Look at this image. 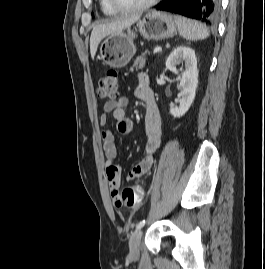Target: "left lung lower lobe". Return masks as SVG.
<instances>
[{
  "mask_svg": "<svg viewBox=\"0 0 265 269\" xmlns=\"http://www.w3.org/2000/svg\"><path fill=\"white\" fill-rule=\"evenodd\" d=\"M157 10L174 12L211 24L219 15L220 0H166Z\"/></svg>",
  "mask_w": 265,
  "mask_h": 269,
  "instance_id": "obj_1",
  "label": "left lung lower lobe"
}]
</instances>
